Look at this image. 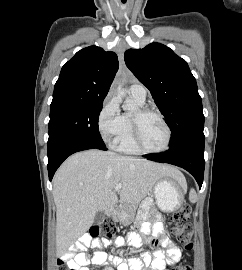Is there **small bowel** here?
<instances>
[{
  "label": "small bowel",
  "instance_id": "c3829d8e",
  "mask_svg": "<svg viewBox=\"0 0 242 270\" xmlns=\"http://www.w3.org/2000/svg\"><path fill=\"white\" fill-rule=\"evenodd\" d=\"M147 217V212H140L138 215V221L141 223L139 232L130 233L126 241L118 238L114 245L121 248L127 243L131 247L140 248L150 242V237H159L158 241H153L154 249L152 254L144 252L140 257L128 259L108 256L102 249L111 245L110 241L92 239L85 235L68 252L62 255L59 262L67 270H90L89 264L104 266L107 264V261L113 262L117 266V270H143L144 265L148 266L150 270H166L167 266L180 261L182 257L181 250L165 235L164 216L157 215L152 220H148ZM86 247L95 249L91 257L84 251Z\"/></svg>",
  "mask_w": 242,
  "mask_h": 270
}]
</instances>
